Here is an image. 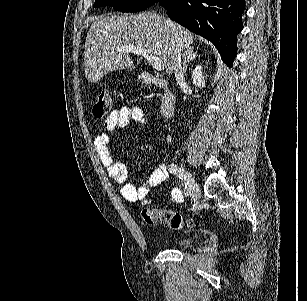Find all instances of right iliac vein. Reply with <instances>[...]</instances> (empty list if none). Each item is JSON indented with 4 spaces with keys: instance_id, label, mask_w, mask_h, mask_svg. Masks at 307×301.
Masks as SVG:
<instances>
[{
    "instance_id": "obj_1",
    "label": "right iliac vein",
    "mask_w": 307,
    "mask_h": 301,
    "mask_svg": "<svg viewBox=\"0 0 307 301\" xmlns=\"http://www.w3.org/2000/svg\"><path fill=\"white\" fill-rule=\"evenodd\" d=\"M187 183H188V188H187L188 193L191 194V198L192 201L194 202V205H197L198 200L201 197V191L191 174H187Z\"/></svg>"
}]
</instances>
